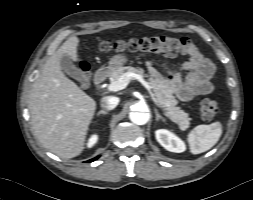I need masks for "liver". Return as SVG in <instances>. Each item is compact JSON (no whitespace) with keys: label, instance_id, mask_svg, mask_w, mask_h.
Instances as JSON below:
<instances>
[{"label":"liver","instance_id":"6515ba94","mask_svg":"<svg viewBox=\"0 0 253 200\" xmlns=\"http://www.w3.org/2000/svg\"><path fill=\"white\" fill-rule=\"evenodd\" d=\"M79 39H67L43 65L32 84L28 108L34 134L39 143L65 159L78 156L84 149L96 101L62 72L63 55L78 61Z\"/></svg>","mask_w":253,"mask_h":200}]
</instances>
